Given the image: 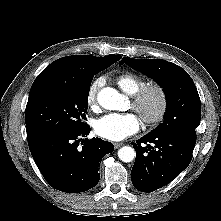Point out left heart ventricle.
<instances>
[{
    "label": "left heart ventricle",
    "instance_id": "left-heart-ventricle-1",
    "mask_svg": "<svg viewBox=\"0 0 221 221\" xmlns=\"http://www.w3.org/2000/svg\"><path fill=\"white\" fill-rule=\"evenodd\" d=\"M157 98L155 95H150L145 102V111L148 114H151L157 108Z\"/></svg>",
    "mask_w": 221,
    "mask_h": 221
}]
</instances>
